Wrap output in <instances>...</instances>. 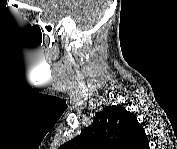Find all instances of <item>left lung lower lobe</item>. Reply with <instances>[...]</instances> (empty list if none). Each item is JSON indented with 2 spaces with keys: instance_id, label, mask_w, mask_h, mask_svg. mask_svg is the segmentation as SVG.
Wrapping results in <instances>:
<instances>
[{
  "instance_id": "obj_1",
  "label": "left lung lower lobe",
  "mask_w": 177,
  "mask_h": 149,
  "mask_svg": "<svg viewBox=\"0 0 177 149\" xmlns=\"http://www.w3.org/2000/svg\"><path fill=\"white\" fill-rule=\"evenodd\" d=\"M142 149H148L149 148V142L147 139V136H144V138L142 139V145H141Z\"/></svg>"
}]
</instances>
